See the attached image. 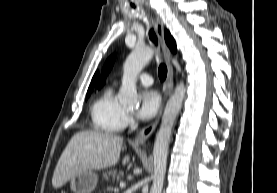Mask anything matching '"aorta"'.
Here are the masks:
<instances>
[{"label": "aorta", "instance_id": "obj_1", "mask_svg": "<svg viewBox=\"0 0 277 193\" xmlns=\"http://www.w3.org/2000/svg\"><path fill=\"white\" fill-rule=\"evenodd\" d=\"M153 53V49L150 47H136L127 57L123 65V82L119 91L120 102L129 106H135L139 103L136 78L144 66L152 59ZM185 92L184 83H179L164 110L160 129L154 143V174L150 193H161L162 191L171 131L182 107Z\"/></svg>", "mask_w": 277, "mask_h": 193}]
</instances>
